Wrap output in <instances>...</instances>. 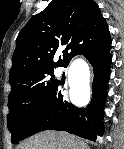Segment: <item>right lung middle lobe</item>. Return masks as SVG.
<instances>
[{
	"label": "right lung middle lobe",
	"instance_id": "1",
	"mask_svg": "<svg viewBox=\"0 0 124 149\" xmlns=\"http://www.w3.org/2000/svg\"><path fill=\"white\" fill-rule=\"evenodd\" d=\"M53 72L47 70L37 73L15 89L11 88L7 122L12 143L17 144L21 140L28 122L58 86L59 81Z\"/></svg>",
	"mask_w": 124,
	"mask_h": 149
}]
</instances>
